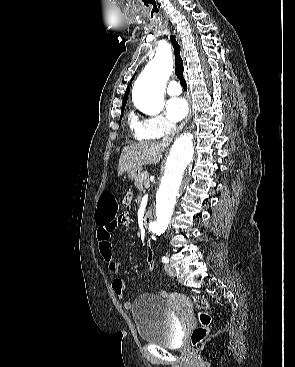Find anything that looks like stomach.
I'll return each mask as SVG.
<instances>
[{"instance_id":"stomach-1","label":"stomach","mask_w":295,"mask_h":367,"mask_svg":"<svg viewBox=\"0 0 295 367\" xmlns=\"http://www.w3.org/2000/svg\"><path fill=\"white\" fill-rule=\"evenodd\" d=\"M127 173L130 179L137 180L140 178L142 174V168L141 167L133 168L129 170Z\"/></svg>"}]
</instances>
